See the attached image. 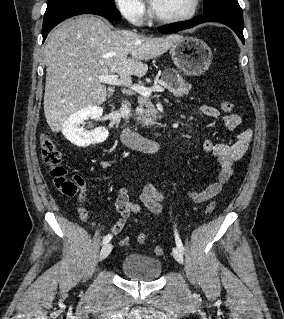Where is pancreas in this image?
Wrapping results in <instances>:
<instances>
[{"label":"pancreas","mask_w":284,"mask_h":319,"mask_svg":"<svg viewBox=\"0 0 284 319\" xmlns=\"http://www.w3.org/2000/svg\"><path fill=\"white\" fill-rule=\"evenodd\" d=\"M172 72L175 73V76L172 79L166 76L168 73V71H166L158 82L177 97L187 95L191 89V85L186 83L175 70H172ZM138 103L139 107L136 109V114L138 115L137 121L142 122L144 126L155 124L154 119L156 117V110L149 98L141 96L138 98ZM144 106L146 109H144Z\"/></svg>","instance_id":"1"}]
</instances>
